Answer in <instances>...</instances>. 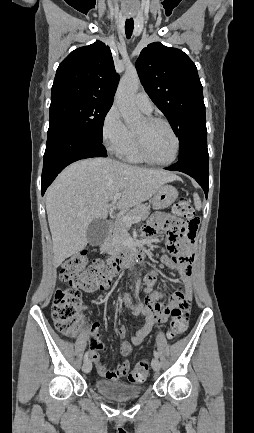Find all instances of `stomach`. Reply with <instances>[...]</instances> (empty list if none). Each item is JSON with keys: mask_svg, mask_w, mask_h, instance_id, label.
<instances>
[{"mask_svg": "<svg viewBox=\"0 0 254 433\" xmlns=\"http://www.w3.org/2000/svg\"><path fill=\"white\" fill-rule=\"evenodd\" d=\"M178 197V191L172 185L160 186L153 195L152 204L155 209H165Z\"/></svg>", "mask_w": 254, "mask_h": 433, "instance_id": "obj_1", "label": "stomach"}]
</instances>
